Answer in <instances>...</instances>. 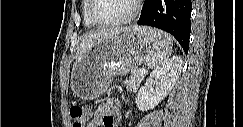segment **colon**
I'll list each match as a JSON object with an SVG mask.
<instances>
[{"mask_svg":"<svg viewBox=\"0 0 243 127\" xmlns=\"http://www.w3.org/2000/svg\"><path fill=\"white\" fill-rule=\"evenodd\" d=\"M70 117L73 127H84L86 122L85 109L78 103H74L70 107Z\"/></svg>","mask_w":243,"mask_h":127,"instance_id":"5ec220e1","label":"colon"}]
</instances>
